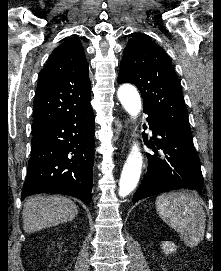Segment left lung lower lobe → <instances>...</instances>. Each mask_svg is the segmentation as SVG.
Here are the masks:
<instances>
[{
	"mask_svg": "<svg viewBox=\"0 0 221 271\" xmlns=\"http://www.w3.org/2000/svg\"><path fill=\"white\" fill-rule=\"evenodd\" d=\"M144 112L148 114L147 121L149 128L153 130L152 140L156 145L155 147L150 143V148L157 154L147 155V174L133 196V203L182 187L201 192L203 177L192 135L153 114ZM143 139L148 146L146 134H143ZM158 150L161 151V156L158 155Z\"/></svg>",
	"mask_w": 221,
	"mask_h": 271,
	"instance_id": "obj_1",
	"label": "left lung lower lobe"
}]
</instances>
